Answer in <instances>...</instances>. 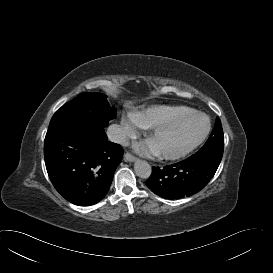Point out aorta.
<instances>
[{
	"mask_svg": "<svg viewBox=\"0 0 273 273\" xmlns=\"http://www.w3.org/2000/svg\"><path fill=\"white\" fill-rule=\"evenodd\" d=\"M134 170L136 175L143 179L149 178L152 172L151 166L144 160H136Z\"/></svg>",
	"mask_w": 273,
	"mask_h": 273,
	"instance_id": "aorta-1",
	"label": "aorta"
}]
</instances>
